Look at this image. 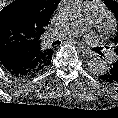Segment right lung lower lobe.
<instances>
[{
	"label": "right lung lower lobe",
	"instance_id": "right-lung-lower-lobe-1",
	"mask_svg": "<svg viewBox=\"0 0 118 118\" xmlns=\"http://www.w3.org/2000/svg\"><path fill=\"white\" fill-rule=\"evenodd\" d=\"M0 65L10 74L19 78H31L37 71V57L32 52L20 51L14 47L0 50Z\"/></svg>",
	"mask_w": 118,
	"mask_h": 118
}]
</instances>
